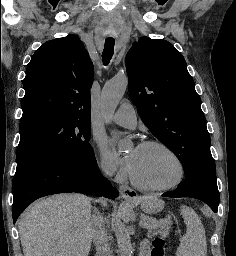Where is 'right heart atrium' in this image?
Returning <instances> with one entry per match:
<instances>
[{
	"mask_svg": "<svg viewBox=\"0 0 236 256\" xmlns=\"http://www.w3.org/2000/svg\"><path fill=\"white\" fill-rule=\"evenodd\" d=\"M99 167L107 178H114L117 182H122L126 179V172L118 167L117 163L103 148L100 149Z\"/></svg>",
	"mask_w": 236,
	"mask_h": 256,
	"instance_id": "right-heart-atrium-1",
	"label": "right heart atrium"
}]
</instances>
